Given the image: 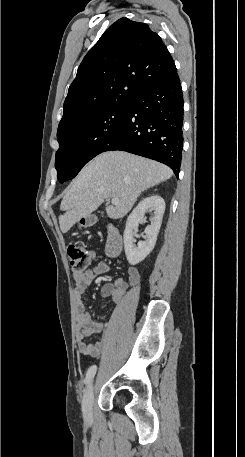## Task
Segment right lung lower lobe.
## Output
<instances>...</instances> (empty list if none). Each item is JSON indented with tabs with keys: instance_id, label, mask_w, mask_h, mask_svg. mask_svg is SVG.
I'll return each mask as SVG.
<instances>
[{
	"instance_id": "1",
	"label": "right lung lower lobe",
	"mask_w": 245,
	"mask_h": 457,
	"mask_svg": "<svg viewBox=\"0 0 245 457\" xmlns=\"http://www.w3.org/2000/svg\"><path fill=\"white\" fill-rule=\"evenodd\" d=\"M183 96L177 72L148 82L104 151L123 150L168 165L179 176L183 147ZM103 151V152H104Z\"/></svg>"
}]
</instances>
